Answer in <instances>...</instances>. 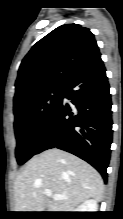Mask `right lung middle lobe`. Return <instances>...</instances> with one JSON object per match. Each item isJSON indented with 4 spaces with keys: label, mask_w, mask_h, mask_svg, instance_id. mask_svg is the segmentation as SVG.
Returning a JSON list of instances; mask_svg holds the SVG:
<instances>
[{
    "label": "right lung middle lobe",
    "mask_w": 123,
    "mask_h": 219,
    "mask_svg": "<svg viewBox=\"0 0 123 219\" xmlns=\"http://www.w3.org/2000/svg\"><path fill=\"white\" fill-rule=\"evenodd\" d=\"M64 86L34 92L14 103L16 158L22 165L36 154L39 141L55 111L60 106Z\"/></svg>",
    "instance_id": "1"
}]
</instances>
